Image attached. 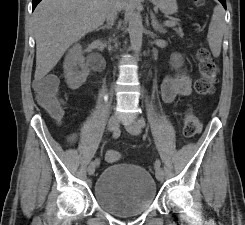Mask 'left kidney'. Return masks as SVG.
<instances>
[{
	"mask_svg": "<svg viewBox=\"0 0 245 225\" xmlns=\"http://www.w3.org/2000/svg\"><path fill=\"white\" fill-rule=\"evenodd\" d=\"M170 63L174 68L179 67L180 64L182 63V56L180 54H173Z\"/></svg>",
	"mask_w": 245,
	"mask_h": 225,
	"instance_id": "left-kidney-1",
	"label": "left kidney"
}]
</instances>
